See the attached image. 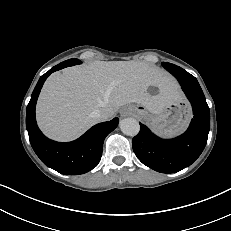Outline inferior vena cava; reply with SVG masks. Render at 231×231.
<instances>
[{"label":"inferior vena cava","instance_id":"inferior-vena-cava-1","mask_svg":"<svg viewBox=\"0 0 231 231\" xmlns=\"http://www.w3.org/2000/svg\"><path fill=\"white\" fill-rule=\"evenodd\" d=\"M93 115L99 122H103L109 120L113 116V112L107 109H100L96 110Z\"/></svg>","mask_w":231,"mask_h":231}]
</instances>
